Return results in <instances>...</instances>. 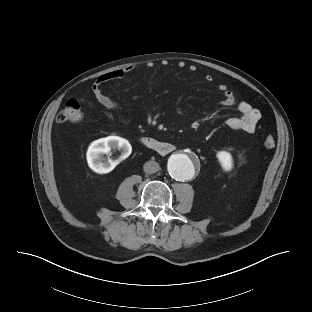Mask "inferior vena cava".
Here are the masks:
<instances>
[{
    "label": "inferior vena cava",
    "instance_id": "1",
    "mask_svg": "<svg viewBox=\"0 0 312 312\" xmlns=\"http://www.w3.org/2000/svg\"><path fill=\"white\" fill-rule=\"evenodd\" d=\"M143 170L147 174H153L160 170V166L156 161H148L144 164Z\"/></svg>",
    "mask_w": 312,
    "mask_h": 312
}]
</instances>
